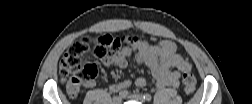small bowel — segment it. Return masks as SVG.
<instances>
[{"instance_id":"obj_1","label":"small bowel","mask_w":252,"mask_h":104,"mask_svg":"<svg viewBox=\"0 0 252 104\" xmlns=\"http://www.w3.org/2000/svg\"><path fill=\"white\" fill-rule=\"evenodd\" d=\"M135 52V61L138 64L145 65L149 68L152 76L156 80L158 88L177 87L182 72L190 71L191 64L183 57L177 54V48L174 42L170 40H161L157 44H150L142 41L134 45V48L123 47L113 55L103 59L105 66H117L126 68L129 57ZM96 85L95 79H90L82 84L84 88H93ZM135 85L142 88L146 85L144 77H138ZM131 86L130 80H123L109 85V91L118 93L126 90Z\"/></svg>"}]
</instances>
